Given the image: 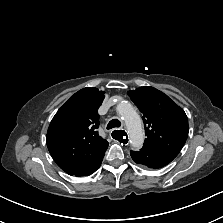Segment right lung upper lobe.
<instances>
[{"mask_svg": "<svg viewBox=\"0 0 223 223\" xmlns=\"http://www.w3.org/2000/svg\"><path fill=\"white\" fill-rule=\"evenodd\" d=\"M104 92L84 88L57 111L47 131V147L57 165L69 175L84 172L100 161L108 142L98 135V108Z\"/></svg>", "mask_w": 223, "mask_h": 223, "instance_id": "right-lung-upper-lobe-1", "label": "right lung upper lobe"}]
</instances>
